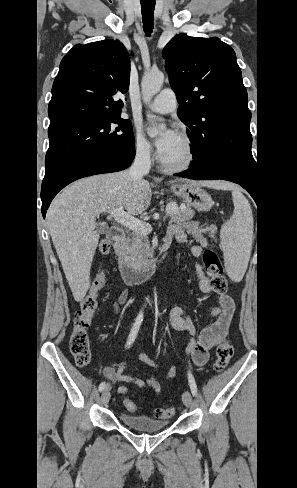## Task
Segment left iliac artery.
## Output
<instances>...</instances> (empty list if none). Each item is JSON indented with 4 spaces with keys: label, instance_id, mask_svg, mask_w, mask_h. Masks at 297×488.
Returning a JSON list of instances; mask_svg holds the SVG:
<instances>
[{
    "label": "left iliac artery",
    "instance_id": "left-iliac-artery-1",
    "mask_svg": "<svg viewBox=\"0 0 297 488\" xmlns=\"http://www.w3.org/2000/svg\"><path fill=\"white\" fill-rule=\"evenodd\" d=\"M188 379H189V385H190L191 393L193 394V396H196L197 395V386H196V382H195V380H194V378L190 372H188Z\"/></svg>",
    "mask_w": 297,
    "mask_h": 488
}]
</instances>
